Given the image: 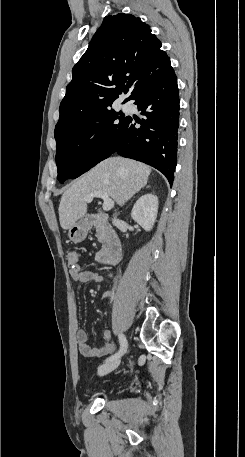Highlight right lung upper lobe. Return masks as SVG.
I'll use <instances>...</instances> for the list:
<instances>
[{
    "label": "right lung upper lobe",
    "mask_w": 245,
    "mask_h": 457,
    "mask_svg": "<svg viewBox=\"0 0 245 457\" xmlns=\"http://www.w3.org/2000/svg\"><path fill=\"white\" fill-rule=\"evenodd\" d=\"M149 25L131 14L106 16L88 49L73 67L55 129L103 109L119 95L130 96L144 82L172 69Z\"/></svg>",
    "instance_id": "obj_1"
}]
</instances>
